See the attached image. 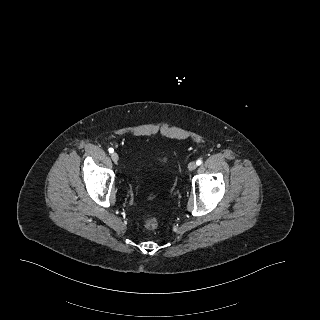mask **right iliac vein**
<instances>
[{
    "label": "right iliac vein",
    "mask_w": 320,
    "mask_h": 320,
    "mask_svg": "<svg viewBox=\"0 0 320 320\" xmlns=\"http://www.w3.org/2000/svg\"><path fill=\"white\" fill-rule=\"evenodd\" d=\"M111 159H112L114 162H117V161L119 160L118 154H117V153H112Z\"/></svg>",
    "instance_id": "63e3f726"
}]
</instances>
